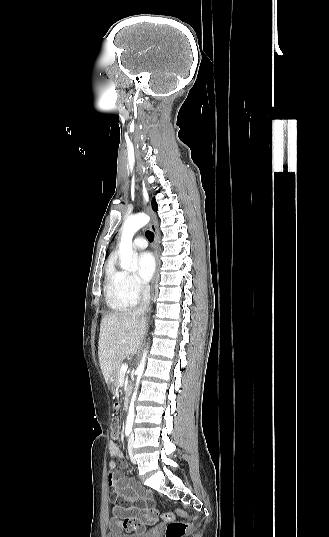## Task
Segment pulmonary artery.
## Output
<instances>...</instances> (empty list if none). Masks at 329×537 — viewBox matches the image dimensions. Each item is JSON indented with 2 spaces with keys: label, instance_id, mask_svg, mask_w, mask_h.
<instances>
[{
  "label": "pulmonary artery",
  "instance_id": "e3ab8cb5",
  "mask_svg": "<svg viewBox=\"0 0 329 537\" xmlns=\"http://www.w3.org/2000/svg\"><path fill=\"white\" fill-rule=\"evenodd\" d=\"M147 241L142 238V237H137L134 241H133V248L137 249V250H142V249H145L147 247Z\"/></svg>",
  "mask_w": 329,
  "mask_h": 537
}]
</instances>
